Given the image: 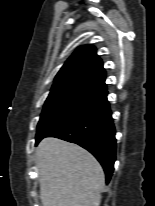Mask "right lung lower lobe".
<instances>
[{"instance_id":"98d812e1","label":"right lung lower lobe","mask_w":155,"mask_h":206,"mask_svg":"<svg viewBox=\"0 0 155 206\" xmlns=\"http://www.w3.org/2000/svg\"><path fill=\"white\" fill-rule=\"evenodd\" d=\"M44 137H57L87 149L101 163L106 174V182L110 181L114 170L116 139L107 98ZM44 137L37 139L36 144Z\"/></svg>"}]
</instances>
